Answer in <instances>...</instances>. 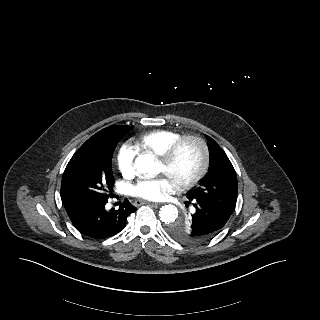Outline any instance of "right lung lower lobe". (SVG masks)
<instances>
[{
  "label": "right lung lower lobe",
  "instance_id": "98d812e1",
  "mask_svg": "<svg viewBox=\"0 0 320 320\" xmlns=\"http://www.w3.org/2000/svg\"><path fill=\"white\" fill-rule=\"evenodd\" d=\"M105 200H65V210L73 225L84 236L92 239H105L124 229L127 218L137 208L125 199L118 210H106Z\"/></svg>",
  "mask_w": 320,
  "mask_h": 320
}]
</instances>
